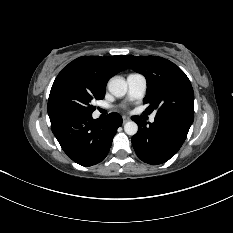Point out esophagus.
Returning <instances> with one entry per match:
<instances>
[{
    "mask_svg": "<svg viewBox=\"0 0 233 233\" xmlns=\"http://www.w3.org/2000/svg\"><path fill=\"white\" fill-rule=\"evenodd\" d=\"M122 120H123V123H126L130 120V118L128 116H123Z\"/></svg>",
    "mask_w": 233,
    "mask_h": 233,
    "instance_id": "esophagus-1",
    "label": "esophagus"
}]
</instances>
